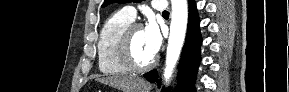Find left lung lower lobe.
<instances>
[{
  "label": "left lung lower lobe",
  "instance_id": "1",
  "mask_svg": "<svg viewBox=\"0 0 289 92\" xmlns=\"http://www.w3.org/2000/svg\"><path fill=\"white\" fill-rule=\"evenodd\" d=\"M199 17L194 0H189V21L185 46L182 51V57L179 65V82L177 92H195V74L201 61L200 46L202 37L200 34ZM150 82L158 81V72L156 69L143 75ZM168 92V90H164Z\"/></svg>",
  "mask_w": 289,
  "mask_h": 92
}]
</instances>
